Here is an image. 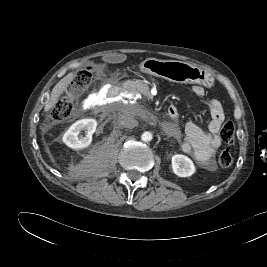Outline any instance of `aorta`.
<instances>
[{"label":"aorta","instance_id":"aorta-1","mask_svg":"<svg viewBox=\"0 0 267 267\" xmlns=\"http://www.w3.org/2000/svg\"><path fill=\"white\" fill-rule=\"evenodd\" d=\"M152 138H153V135L149 131L143 132L141 135V140L144 142H149L152 140Z\"/></svg>","mask_w":267,"mask_h":267}]
</instances>
